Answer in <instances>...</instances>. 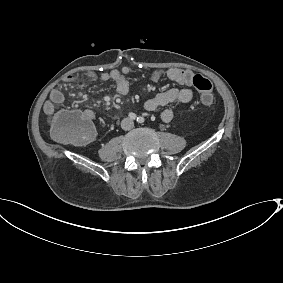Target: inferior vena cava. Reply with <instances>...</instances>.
Returning <instances> with one entry per match:
<instances>
[{
    "instance_id": "obj_1",
    "label": "inferior vena cava",
    "mask_w": 283,
    "mask_h": 283,
    "mask_svg": "<svg viewBox=\"0 0 283 283\" xmlns=\"http://www.w3.org/2000/svg\"><path fill=\"white\" fill-rule=\"evenodd\" d=\"M134 127V123L133 121L130 119V118H124L122 121H121V128L123 130H131L132 128Z\"/></svg>"
}]
</instances>
